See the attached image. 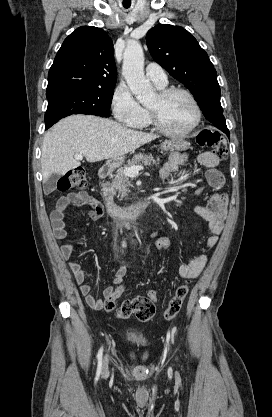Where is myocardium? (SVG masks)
<instances>
[{
	"label": "myocardium",
	"mask_w": 272,
	"mask_h": 417,
	"mask_svg": "<svg viewBox=\"0 0 272 417\" xmlns=\"http://www.w3.org/2000/svg\"><path fill=\"white\" fill-rule=\"evenodd\" d=\"M176 94L185 95L191 101L194 107L195 119L189 128L182 130V131H174V130L167 128L161 122L158 116V113L155 110H152L150 108L148 109V116H149L150 124L159 132L169 135V136H173V137H183L192 133L199 126L201 119H202V110L196 97L189 90L184 89V88H180V87L165 88L159 92L158 96L160 97L161 100L164 101Z\"/></svg>",
	"instance_id": "obj_1"
}]
</instances>
